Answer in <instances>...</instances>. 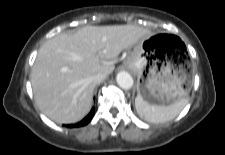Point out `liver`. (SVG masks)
<instances>
[{"label":"liver","mask_w":225,"mask_h":155,"mask_svg":"<svg viewBox=\"0 0 225 155\" xmlns=\"http://www.w3.org/2000/svg\"><path fill=\"white\" fill-rule=\"evenodd\" d=\"M153 33L137 25L86 26L61 33L38 51L31 71L34 99L56 123H75L88 113L98 73L111 74L113 60Z\"/></svg>","instance_id":"obj_1"}]
</instances>
